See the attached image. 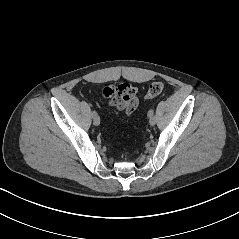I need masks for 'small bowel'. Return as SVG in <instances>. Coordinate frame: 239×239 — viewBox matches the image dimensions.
<instances>
[{"label":"small bowel","mask_w":239,"mask_h":239,"mask_svg":"<svg viewBox=\"0 0 239 239\" xmlns=\"http://www.w3.org/2000/svg\"><path fill=\"white\" fill-rule=\"evenodd\" d=\"M102 95L111 107L126 115H131L138 107L137 88L130 84L123 83L116 87H105Z\"/></svg>","instance_id":"obj_1"}]
</instances>
